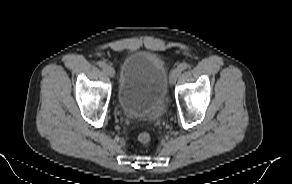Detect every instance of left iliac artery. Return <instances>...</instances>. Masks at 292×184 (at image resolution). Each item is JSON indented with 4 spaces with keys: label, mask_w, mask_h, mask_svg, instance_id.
I'll use <instances>...</instances> for the list:
<instances>
[{
    "label": "left iliac artery",
    "mask_w": 292,
    "mask_h": 184,
    "mask_svg": "<svg viewBox=\"0 0 292 184\" xmlns=\"http://www.w3.org/2000/svg\"><path fill=\"white\" fill-rule=\"evenodd\" d=\"M188 66H189V65H188L187 63H182V64H180V65L178 66V69H179V71L181 72V71L187 69Z\"/></svg>",
    "instance_id": "obj_1"
}]
</instances>
